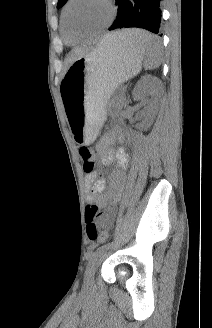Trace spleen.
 <instances>
[{
	"label": "spleen",
	"instance_id": "obj_1",
	"mask_svg": "<svg viewBox=\"0 0 212 328\" xmlns=\"http://www.w3.org/2000/svg\"><path fill=\"white\" fill-rule=\"evenodd\" d=\"M128 37L124 36V32H115L118 42L124 46L141 49L145 52V69H155L160 65L161 47L159 44L155 46L147 45L146 42L154 37L147 31L141 29H132L128 31Z\"/></svg>",
	"mask_w": 212,
	"mask_h": 328
}]
</instances>
